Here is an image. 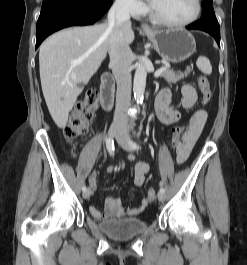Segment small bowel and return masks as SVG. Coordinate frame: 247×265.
I'll list each match as a JSON object with an SVG mask.
<instances>
[{"label": "small bowel", "instance_id": "1", "mask_svg": "<svg viewBox=\"0 0 247 265\" xmlns=\"http://www.w3.org/2000/svg\"><path fill=\"white\" fill-rule=\"evenodd\" d=\"M182 107L184 110L191 109L197 102L198 96L195 88L190 84H185L182 87ZM171 101V92L167 88H163L155 101L156 115L159 121L165 125H173L181 119V112L169 106ZM207 113L204 110L195 111L189 118L181 134V144L177 153V162L184 163L189 157L191 150L199 138L204 125L206 123ZM130 161L134 160L133 156L129 157ZM113 170L112 167L109 168ZM149 172V165L145 161L137 162L134 167V183L138 187L145 184L146 176ZM89 187L91 190L97 187V176L93 172L89 177ZM149 203L147 199H142L140 204L135 207L125 208L119 198H107L104 202V211L98 210L94 206H90L91 215L99 220H108L111 218H122L126 216H134L142 213Z\"/></svg>", "mask_w": 247, "mask_h": 265}]
</instances>
